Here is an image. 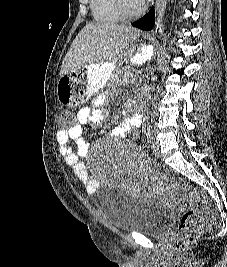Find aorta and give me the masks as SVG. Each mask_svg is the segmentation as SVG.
Masks as SVG:
<instances>
[{"label":"aorta","instance_id":"aorta-1","mask_svg":"<svg viewBox=\"0 0 227 267\" xmlns=\"http://www.w3.org/2000/svg\"><path fill=\"white\" fill-rule=\"evenodd\" d=\"M168 0H155V17L157 26H161L164 20Z\"/></svg>","mask_w":227,"mask_h":267}]
</instances>
